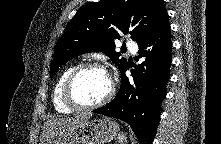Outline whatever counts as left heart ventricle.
Here are the masks:
<instances>
[{
	"label": "left heart ventricle",
	"instance_id": "obj_1",
	"mask_svg": "<svg viewBox=\"0 0 221 144\" xmlns=\"http://www.w3.org/2000/svg\"><path fill=\"white\" fill-rule=\"evenodd\" d=\"M109 88V75L103 70L90 68L84 70L75 80L73 95L80 103L92 104L101 100Z\"/></svg>",
	"mask_w": 221,
	"mask_h": 144
}]
</instances>
